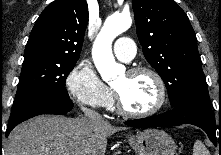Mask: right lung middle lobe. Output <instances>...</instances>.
Here are the masks:
<instances>
[{"label": "right lung middle lobe", "mask_w": 221, "mask_h": 155, "mask_svg": "<svg viewBox=\"0 0 221 155\" xmlns=\"http://www.w3.org/2000/svg\"><path fill=\"white\" fill-rule=\"evenodd\" d=\"M76 62L46 56L25 57L12 112L38 94L69 99L65 81Z\"/></svg>", "instance_id": "obj_1"}]
</instances>
